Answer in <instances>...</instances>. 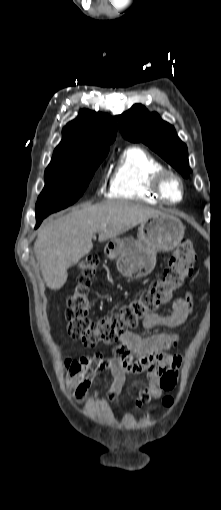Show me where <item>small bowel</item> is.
Returning <instances> with one entry per match:
<instances>
[{"instance_id":"c3829d8e","label":"small bowel","mask_w":221,"mask_h":510,"mask_svg":"<svg viewBox=\"0 0 221 510\" xmlns=\"http://www.w3.org/2000/svg\"><path fill=\"white\" fill-rule=\"evenodd\" d=\"M193 311V297L186 292L184 296L173 300L171 313L149 314L142 320V326L150 330L173 328L184 323ZM178 342L179 337L174 334L141 336L134 332H125L119 343L111 347L109 354L96 352L92 355L67 357L64 360V369L68 388L80 403L95 379L109 371L112 381L106 392V400L112 403L122 389L127 375L146 373L149 385L139 392L136 399L137 408H141L174 387L178 379L181 356L171 354L170 350Z\"/></svg>"}]
</instances>
